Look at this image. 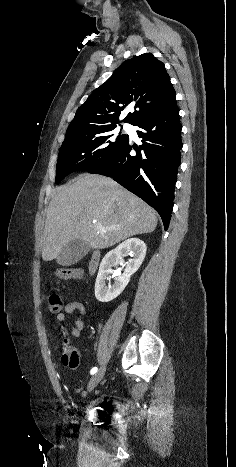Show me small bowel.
Wrapping results in <instances>:
<instances>
[{
	"label": "small bowel",
	"mask_w": 236,
	"mask_h": 467,
	"mask_svg": "<svg viewBox=\"0 0 236 467\" xmlns=\"http://www.w3.org/2000/svg\"><path fill=\"white\" fill-rule=\"evenodd\" d=\"M74 312H78V316L75 319L73 325L71 326L70 332L64 327L60 328L64 336L61 362L64 366L70 367L73 369L77 368L78 363L75 366H71L69 363V359H68L69 350L74 348V346L71 345V337L81 336L85 328V320H84L86 316L85 305L80 300H77V299L70 300L64 305L63 312L58 313L56 316L58 322L64 323L67 321V314H71Z\"/></svg>",
	"instance_id": "obj_1"
}]
</instances>
